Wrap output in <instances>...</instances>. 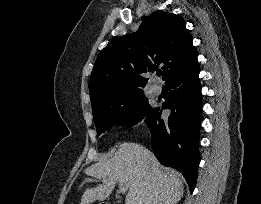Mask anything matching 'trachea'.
<instances>
[{"label": "trachea", "mask_w": 261, "mask_h": 204, "mask_svg": "<svg viewBox=\"0 0 261 204\" xmlns=\"http://www.w3.org/2000/svg\"><path fill=\"white\" fill-rule=\"evenodd\" d=\"M157 75H158V76H161V75H162V73H161V72H158V73H157Z\"/></svg>", "instance_id": "1"}]
</instances>
